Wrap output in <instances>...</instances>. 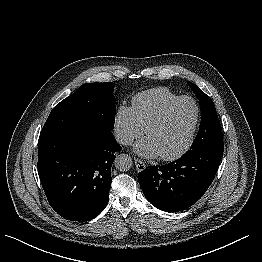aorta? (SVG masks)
I'll use <instances>...</instances> for the list:
<instances>
[{"label":"aorta","mask_w":262,"mask_h":262,"mask_svg":"<svg viewBox=\"0 0 262 262\" xmlns=\"http://www.w3.org/2000/svg\"><path fill=\"white\" fill-rule=\"evenodd\" d=\"M114 164L119 171H128L132 167V158L127 154H120L115 158Z\"/></svg>","instance_id":"762f6f07"}]
</instances>
